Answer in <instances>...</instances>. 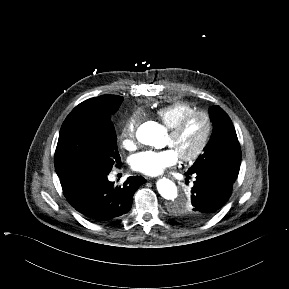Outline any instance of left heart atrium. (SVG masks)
I'll list each match as a JSON object with an SVG mask.
<instances>
[{"instance_id": "obj_1", "label": "left heart atrium", "mask_w": 289, "mask_h": 289, "mask_svg": "<svg viewBox=\"0 0 289 289\" xmlns=\"http://www.w3.org/2000/svg\"><path fill=\"white\" fill-rule=\"evenodd\" d=\"M179 155L172 148L163 150H146L131 157L130 164L133 170L148 176L161 174L166 168L174 166Z\"/></svg>"}]
</instances>
